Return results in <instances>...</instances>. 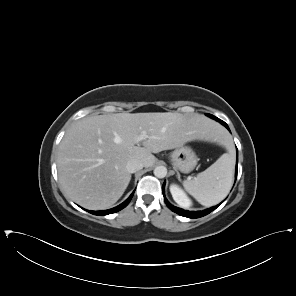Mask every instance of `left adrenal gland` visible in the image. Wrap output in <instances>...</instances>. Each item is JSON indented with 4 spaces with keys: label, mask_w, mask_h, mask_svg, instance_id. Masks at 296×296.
I'll return each mask as SVG.
<instances>
[{
    "label": "left adrenal gland",
    "mask_w": 296,
    "mask_h": 296,
    "mask_svg": "<svg viewBox=\"0 0 296 296\" xmlns=\"http://www.w3.org/2000/svg\"><path fill=\"white\" fill-rule=\"evenodd\" d=\"M176 173H177L178 180H180V173L178 171H176Z\"/></svg>",
    "instance_id": "left-adrenal-gland-1"
}]
</instances>
